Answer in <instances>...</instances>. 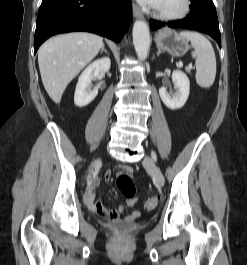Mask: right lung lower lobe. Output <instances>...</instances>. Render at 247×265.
<instances>
[{
	"label": "right lung lower lobe",
	"instance_id": "obj_1",
	"mask_svg": "<svg viewBox=\"0 0 247 265\" xmlns=\"http://www.w3.org/2000/svg\"><path fill=\"white\" fill-rule=\"evenodd\" d=\"M132 21L130 0H42L34 53L50 36L88 31L120 41Z\"/></svg>",
	"mask_w": 247,
	"mask_h": 265
}]
</instances>
